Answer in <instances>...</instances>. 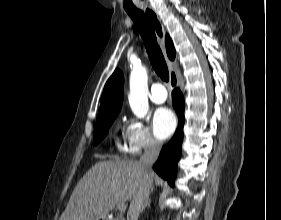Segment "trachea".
<instances>
[{"instance_id":"3493384b","label":"trachea","mask_w":281,"mask_h":220,"mask_svg":"<svg viewBox=\"0 0 281 220\" xmlns=\"http://www.w3.org/2000/svg\"><path fill=\"white\" fill-rule=\"evenodd\" d=\"M128 15L137 25L151 65L157 75L165 82L169 80V72L162 51L157 43L153 28L141 10H127Z\"/></svg>"}]
</instances>
